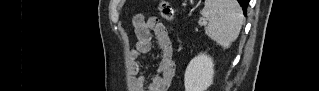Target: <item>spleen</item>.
Masks as SVG:
<instances>
[{
  "instance_id": "obj_1",
  "label": "spleen",
  "mask_w": 319,
  "mask_h": 91,
  "mask_svg": "<svg viewBox=\"0 0 319 91\" xmlns=\"http://www.w3.org/2000/svg\"><path fill=\"white\" fill-rule=\"evenodd\" d=\"M201 14L208 20L205 34L222 48L234 42L243 24V13L236 0H206Z\"/></svg>"
}]
</instances>
